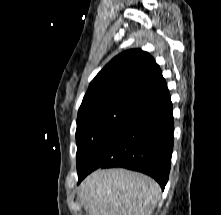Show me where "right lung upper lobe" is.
Returning a JSON list of instances; mask_svg holds the SVG:
<instances>
[{
  "mask_svg": "<svg viewBox=\"0 0 221 215\" xmlns=\"http://www.w3.org/2000/svg\"><path fill=\"white\" fill-rule=\"evenodd\" d=\"M167 90L159 65L141 49L114 57L92 80L82 105L117 101L138 106Z\"/></svg>",
  "mask_w": 221,
  "mask_h": 215,
  "instance_id": "right-lung-upper-lobe-1",
  "label": "right lung upper lobe"
}]
</instances>
